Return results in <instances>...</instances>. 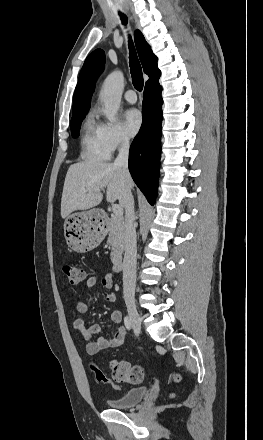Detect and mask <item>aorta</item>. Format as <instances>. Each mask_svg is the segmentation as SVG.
Masks as SVG:
<instances>
[{"label":"aorta","instance_id":"obj_1","mask_svg":"<svg viewBox=\"0 0 263 440\" xmlns=\"http://www.w3.org/2000/svg\"><path fill=\"white\" fill-rule=\"evenodd\" d=\"M123 87L124 75L119 70L109 74L103 83L99 97L104 105V114L110 122L115 121L121 103Z\"/></svg>","mask_w":263,"mask_h":440}]
</instances>
